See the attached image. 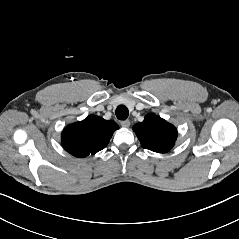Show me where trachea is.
Segmentation results:
<instances>
[{
  "instance_id": "trachea-1",
  "label": "trachea",
  "mask_w": 239,
  "mask_h": 239,
  "mask_svg": "<svg viewBox=\"0 0 239 239\" xmlns=\"http://www.w3.org/2000/svg\"><path fill=\"white\" fill-rule=\"evenodd\" d=\"M116 117L119 119V120H126L128 115H129V111H128V108L125 106V105H119L117 108H116Z\"/></svg>"
}]
</instances>
